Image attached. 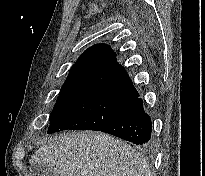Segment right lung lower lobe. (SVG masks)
<instances>
[{"label":"right lung lower lobe","instance_id":"98d812e1","mask_svg":"<svg viewBox=\"0 0 205 176\" xmlns=\"http://www.w3.org/2000/svg\"><path fill=\"white\" fill-rule=\"evenodd\" d=\"M152 123L143 110L139 95L132 99L122 113L100 131L117 136L137 145H148L151 138Z\"/></svg>","mask_w":205,"mask_h":176}]
</instances>
